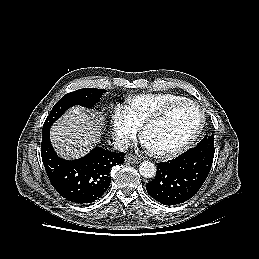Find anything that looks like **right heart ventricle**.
I'll use <instances>...</instances> for the list:
<instances>
[{"instance_id": "e07e8e85", "label": "right heart ventricle", "mask_w": 259, "mask_h": 259, "mask_svg": "<svg viewBox=\"0 0 259 259\" xmlns=\"http://www.w3.org/2000/svg\"><path fill=\"white\" fill-rule=\"evenodd\" d=\"M186 98L170 93L141 94L126 98L125 110L132 123L140 128L163 107Z\"/></svg>"}]
</instances>
